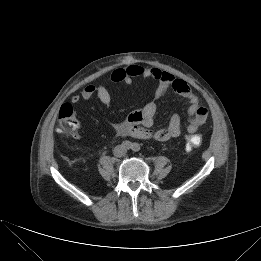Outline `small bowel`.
Here are the masks:
<instances>
[{
  "mask_svg": "<svg viewBox=\"0 0 261 261\" xmlns=\"http://www.w3.org/2000/svg\"><path fill=\"white\" fill-rule=\"evenodd\" d=\"M142 77L156 81L154 97L141 109L130 113L122 122L114 125V132L118 136H130L139 139H153L164 142L178 137L181 134V119L178 114H173L169 124L164 129L152 131L154 117L157 110V100L161 99L169 89L185 98L189 103V121L186 127L188 133L193 134L206 122L208 109L200 104L198 97L191 90L189 85L172 74L157 68H144L139 65H130L124 68H117L110 74L113 83L130 85L135 78ZM97 96L104 105L111 103V95L104 84H88L79 95L71 98L73 104L81 100H89Z\"/></svg>",
  "mask_w": 261,
  "mask_h": 261,
  "instance_id": "c3829d8e",
  "label": "small bowel"
}]
</instances>
